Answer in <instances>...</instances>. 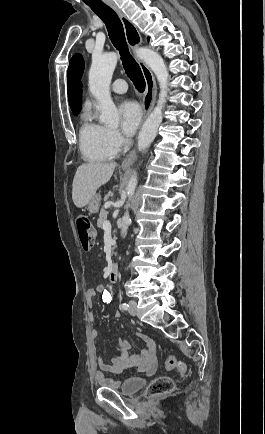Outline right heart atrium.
<instances>
[{"mask_svg": "<svg viewBox=\"0 0 265 434\" xmlns=\"http://www.w3.org/2000/svg\"><path fill=\"white\" fill-rule=\"evenodd\" d=\"M105 132L107 133L106 137L109 140L111 151L115 153L124 151L126 138L125 136H121V133L118 132V127L116 125H107Z\"/></svg>", "mask_w": 265, "mask_h": 434, "instance_id": "obj_1", "label": "right heart atrium"}]
</instances>
